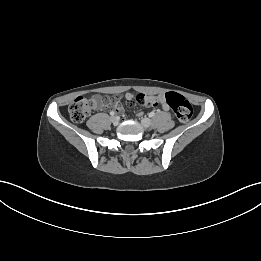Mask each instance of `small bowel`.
Returning <instances> with one entry per match:
<instances>
[{
    "instance_id": "1",
    "label": "small bowel",
    "mask_w": 261,
    "mask_h": 261,
    "mask_svg": "<svg viewBox=\"0 0 261 261\" xmlns=\"http://www.w3.org/2000/svg\"><path fill=\"white\" fill-rule=\"evenodd\" d=\"M122 99H125L127 103H131L135 108H150L151 106L160 105L164 111L170 109L169 105L166 103L163 94L147 95L146 93H128L123 95ZM94 107L98 110H103L107 107H113L121 113L122 107L117 99H112L105 101L101 96L96 95L93 97Z\"/></svg>"
}]
</instances>
